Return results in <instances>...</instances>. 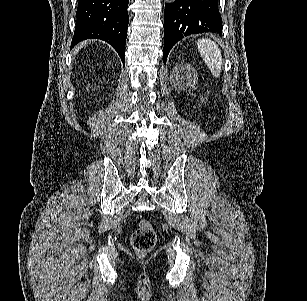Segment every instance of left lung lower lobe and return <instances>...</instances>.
Segmentation results:
<instances>
[{"mask_svg": "<svg viewBox=\"0 0 307 301\" xmlns=\"http://www.w3.org/2000/svg\"><path fill=\"white\" fill-rule=\"evenodd\" d=\"M164 32V63L171 48L184 36L203 32L221 35L222 19L218 0H175L173 4H167Z\"/></svg>", "mask_w": 307, "mask_h": 301, "instance_id": "0a47b994", "label": "left lung lower lobe"}]
</instances>
